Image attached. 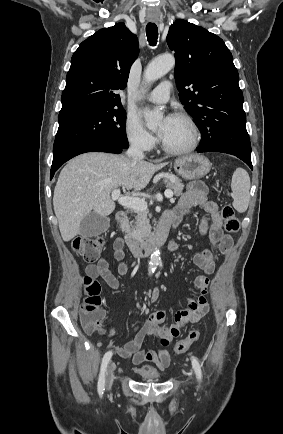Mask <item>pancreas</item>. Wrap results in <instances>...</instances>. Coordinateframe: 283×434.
Returning a JSON list of instances; mask_svg holds the SVG:
<instances>
[{
    "mask_svg": "<svg viewBox=\"0 0 283 434\" xmlns=\"http://www.w3.org/2000/svg\"><path fill=\"white\" fill-rule=\"evenodd\" d=\"M165 183L169 189L173 190L176 196L182 195L184 184L178 177L172 176L171 178L166 179ZM121 228L133 239L137 241H142L145 237L149 235L151 230V226L147 218V212L136 211L135 220L131 223H129L128 221L122 222Z\"/></svg>",
    "mask_w": 283,
    "mask_h": 434,
    "instance_id": "1",
    "label": "pancreas"
}]
</instances>
